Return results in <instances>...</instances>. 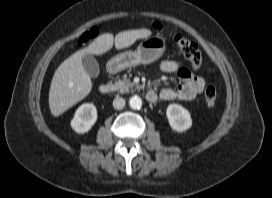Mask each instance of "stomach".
I'll list each match as a JSON object with an SVG mask.
<instances>
[{"mask_svg":"<svg viewBox=\"0 0 272 198\" xmlns=\"http://www.w3.org/2000/svg\"><path fill=\"white\" fill-rule=\"evenodd\" d=\"M165 48L166 41L163 37L147 38L135 51H124L111 58L107 63V70L117 73L140 64H150L163 55Z\"/></svg>","mask_w":272,"mask_h":198,"instance_id":"obj_1","label":"stomach"}]
</instances>
